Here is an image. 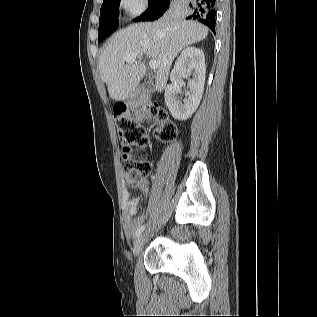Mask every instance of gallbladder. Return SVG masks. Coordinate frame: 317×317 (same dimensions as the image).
<instances>
[{"label":"gallbladder","mask_w":317,"mask_h":317,"mask_svg":"<svg viewBox=\"0 0 317 317\" xmlns=\"http://www.w3.org/2000/svg\"><path fill=\"white\" fill-rule=\"evenodd\" d=\"M152 87H153V83L151 81H148L142 85V89L144 91H150Z\"/></svg>","instance_id":"obj_1"}]
</instances>
